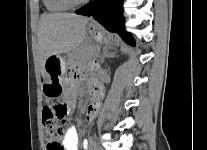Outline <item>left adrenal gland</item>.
<instances>
[{"label": "left adrenal gland", "instance_id": "1", "mask_svg": "<svg viewBox=\"0 0 207 150\" xmlns=\"http://www.w3.org/2000/svg\"><path fill=\"white\" fill-rule=\"evenodd\" d=\"M113 55H114V53L109 52L108 50L105 49L104 52H103V55L101 57V63L104 62L105 58L113 56Z\"/></svg>", "mask_w": 207, "mask_h": 150}]
</instances>
